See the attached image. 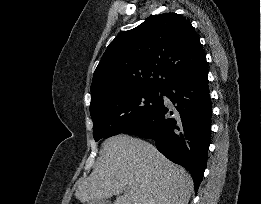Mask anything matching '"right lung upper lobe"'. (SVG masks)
<instances>
[{
	"label": "right lung upper lobe",
	"mask_w": 261,
	"mask_h": 204,
	"mask_svg": "<svg viewBox=\"0 0 261 204\" xmlns=\"http://www.w3.org/2000/svg\"><path fill=\"white\" fill-rule=\"evenodd\" d=\"M204 59L189 21L176 13L154 15L109 44L94 72L90 107L120 91H162Z\"/></svg>",
	"instance_id": "obj_1"
}]
</instances>
